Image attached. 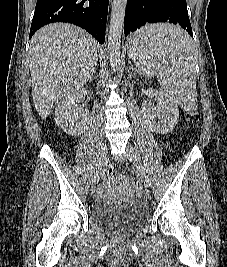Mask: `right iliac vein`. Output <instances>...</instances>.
Segmentation results:
<instances>
[{"label": "right iliac vein", "mask_w": 227, "mask_h": 267, "mask_svg": "<svg viewBox=\"0 0 227 267\" xmlns=\"http://www.w3.org/2000/svg\"><path fill=\"white\" fill-rule=\"evenodd\" d=\"M107 152H108V147L106 143H103L97 155L96 166H95L94 173L92 175V185H95L99 180V172L104 166V163L107 157Z\"/></svg>", "instance_id": "obj_1"}]
</instances>
